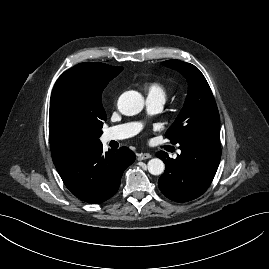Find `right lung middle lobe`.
<instances>
[{
  "label": "right lung middle lobe",
  "mask_w": 269,
  "mask_h": 269,
  "mask_svg": "<svg viewBox=\"0 0 269 269\" xmlns=\"http://www.w3.org/2000/svg\"><path fill=\"white\" fill-rule=\"evenodd\" d=\"M71 79L74 73L64 75ZM105 116H98L84 105L71 104L62 92L52 93L49 112V135L54 164L65 161L100 144Z\"/></svg>",
  "instance_id": "right-lung-middle-lobe-1"
}]
</instances>
